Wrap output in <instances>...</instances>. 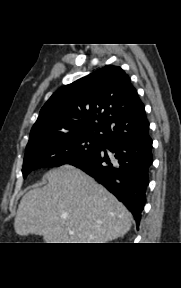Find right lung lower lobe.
I'll return each mask as SVG.
<instances>
[{
    "label": "right lung lower lobe",
    "instance_id": "obj_1",
    "mask_svg": "<svg viewBox=\"0 0 181 288\" xmlns=\"http://www.w3.org/2000/svg\"><path fill=\"white\" fill-rule=\"evenodd\" d=\"M105 148L113 155L109 157ZM152 162V139L148 135L135 140L105 142L99 152L71 165L82 169L113 193L139 225Z\"/></svg>",
    "mask_w": 181,
    "mask_h": 288
}]
</instances>
